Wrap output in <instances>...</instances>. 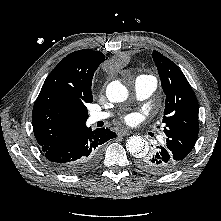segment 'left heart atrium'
<instances>
[{
	"label": "left heart atrium",
	"mask_w": 221,
	"mask_h": 221,
	"mask_svg": "<svg viewBox=\"0 0 221 221\" xmlns=\"http://www.w3.org/2000/svg\"><path fill=\"white\" fill-rule=\"evenodd\" d=\"M135 117L134 115H128L126 118H125V121L127 123H132L134 121Z\"/></svg>",
	"instance_id": "39dd6f15"
}]
</instances>
